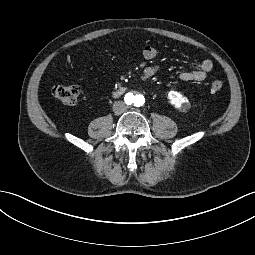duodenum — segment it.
Wrapping results in <instances>:
<instances>
[{"mask_svg": "<svg viewBox=\"0 0 255 255\" xmlns=\"http://www.w3.org/2000/svg\"><path fill=\"white\" fill-rule=\"evenodd\" d=\"M124 89L123 88H117L116 90H115V94H119V93H121L122 91H123Z\"/></svg>", "mask_w": 255, "mask_h": 255, "instance_id": "obj_1", "label": "duodenum"}]
</instances>
